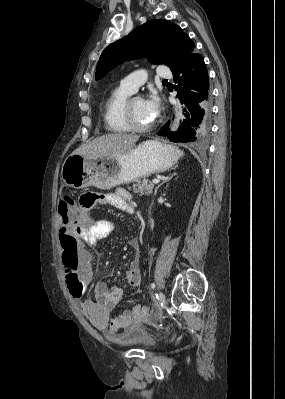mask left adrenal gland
I'll return each mask as SVG.
<instances>
[{"mask_svg": "<svg viewBox=\"0 0 285 399\" xmlns=\"http://www.w3.org/2000/svg\"><path fill=\"white\" fill-rule=\"evenodd\" d=\"M177 175V173L176 172H174L170 177H168L167 179H165L162 183H160L157 187H156V189H155V195L157 194V191H158V189L164 184V183H166L167 181H169V180H171L174 176H176Z\"/></svg>", "mask_w": 285, "mask_h": 399, "instance_id": "obj_1", "label": "left adrenal gland"}]
</instances>
